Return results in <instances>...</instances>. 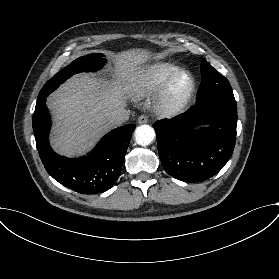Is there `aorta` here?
Wrapping results in <instances>:
<instances>
[{"label":"aorta","mask_w":279,"mask_h":279,"mask_svg":"<svg viewBox=\"0 0 279 279\" xmlns=\"http://www.w3.org/2000/svg\"><path fill=\"white\" fill-rule=\"evenodd\" d=\"M155 138V131L149 125H141L135 130V140L141 146L149 145Z\"/></svg>","instance_id":"aorta-1"}]
</instances>
